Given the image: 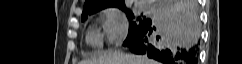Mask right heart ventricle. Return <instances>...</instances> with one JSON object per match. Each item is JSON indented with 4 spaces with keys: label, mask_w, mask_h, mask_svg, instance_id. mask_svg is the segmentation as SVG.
Returning a JSON list of instances; mask_svg holds the SVG:
<instances>
[{
    "label": "right heart ventricle",
    "mask_w": 242,
    "mask_h": 64,
    "mask_svg": "<svg viewBox=\"0 0 242 64\" xmlns=\"http://www.w3.org/2000/svg\"><path fill=\"white\" fill-rule=\"evenodd\" d=\"M86 41L89 45L97 47L101 44V37L95 29L91 28L87 32Z\"/></svg>",
    "instance_id": "e07e8e85"
}]
</instances>
